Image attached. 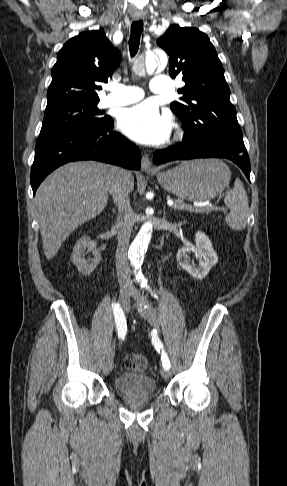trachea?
Returning <instances> with one entry per match:
<instances>
[{"instance_id": "3493384b", "label": "trachea", "mask_w": 287, "mask_h": 486, "mask_svg": "<svg viewBox=\"0 0 287 486\" xmlns=\"http://www.w3.org/2000/svg\"><path fill=\"white\" fill-rule=\"evenodd\" d=\"M143 31V21H135L131 25V37L129 41V48L131 56H134L139 48L140 36Z\"/></svg>"}]
</instances>
